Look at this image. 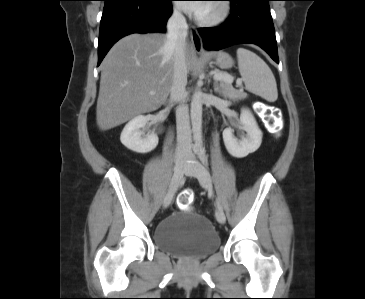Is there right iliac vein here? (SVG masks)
Returning <instances> with one entry per match:
<instances>
[{"instance_id":"1","label":"right iliac vein","mask_w":365,"mask_h":299,"mask_svg":"<svg viewBox=\"0 0 365 299\" xmlns=\"http://www.w3.org/2000/svg\"><path fill=\"white\" fill-rule=\"evenodd\" d=\"M185 172V166L182 162H176L173 170V175L170 181L169 190L164 197L163 201V207L167 208L173 199L174 193L177 190L179 183L181 181V178L183 177V174Z\"/></svg>"}]
</instances>
